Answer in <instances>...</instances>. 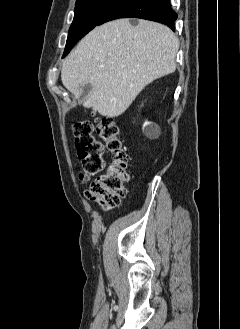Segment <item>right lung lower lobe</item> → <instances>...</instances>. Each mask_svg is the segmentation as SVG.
Instances as JSON below:
<instances>
[{
  "label": "right lung lower lobe",
  "mask_w": 240,
  "mask_h": 329,
  "mask_svg": "<svg viewBox=\"0 0 240 329\" xmlns=\"http://www.w3.org/2000/svg\"><path fill=\"white\" fill-rule=\"evenodd\" d=\"M129 17L160 22L174 30L177 14L171 9L170 0H121L97 25L110 20Z\"/></svg>",
  "instance_id": "1"
}]
</instances>
